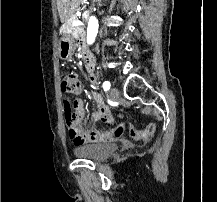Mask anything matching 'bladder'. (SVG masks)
I'll return each mask as SVG.
<instances>
[{"mask_svg": "<svg viewBox=\"0 0 217 202\" xmlns=\"http://www.w3.org/2000/svg\"><path fill=\"white\" fill-rule=\"evenodd\" d=\"M116 144L110 141L87 144L83 148H76L75 155L83 158H90L96 161H102L107 156L115 152Z\"/></svg>", "mask_w": 217, "mask_h": 202, "instance_id": "bladder-1", "label": "bladder"}]
</instances>
